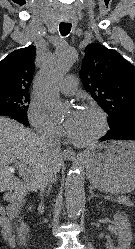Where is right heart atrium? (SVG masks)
<instances>
[{
  "mask_svg": "<svg viewBox=\"0 0 135 249\" xmlns=\"http://www.w3.org/2000/svg\"><path fill=\"white\" fill-rule=\"evenodd\" d=\"M27 118L33 128L40 134L49 136H61L63 129L49 115L44 105L33 100L27 111Z\"/></svg>",
  "mask_w": 135,
  "mask_h": 249,
  "instance_id": "d8ad5b80",
  "label": "right heart atrium"
}]
</instances>
